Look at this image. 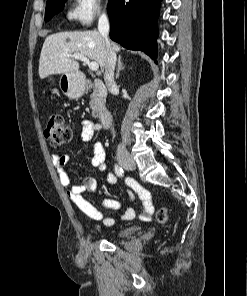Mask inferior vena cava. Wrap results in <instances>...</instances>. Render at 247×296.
<instances>
[{
  "label": "inferior vena cava",
  "mask_w": 247,
  "mask_h": 296,
  "mask_svg": "<svg viewBox=\"0 0 247 296\" xmlns=\"http://www.w3.org/2000/svg\"><path fill=\"white\" fill-rule=\"evenodd\" d=\"M98 30L103 39L105 40L106 47H107V61L105 65V73H104V80L107 87L110 90H113L116 87V83L114 81V70L116 65V53L111 48L110 41L108 39L109 33V20L106 14H102L99 18L98 22ZM125 150L124 145L120 144L118 146V151L122 152Z\"/></svg>",
  "instance_id": "602c4592"
}]
</instances>
